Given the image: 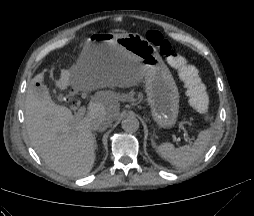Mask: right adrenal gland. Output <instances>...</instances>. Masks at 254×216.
<instances>
[{"mask_svg": "<svg viewBox=\"0 0 254 216\" xmlns=\"http://www.w3.org/2000/svg\"><path fill=\"white\" fill-rule=\"evenodd\" d=\"M95 136H96V133L93 134V137H94V146L96 148L97 147V142H96V137Z\"/></svg>", "mask_w": 254, "mask_h": 216, "instance_id": "1", "label": "right adrenal gland"}]
</instances>
